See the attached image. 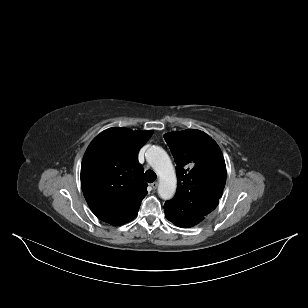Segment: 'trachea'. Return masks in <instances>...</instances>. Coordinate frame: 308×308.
Here are the masks:
<instances>
[{"label":"trachea","instance_id":"3493384b","mask_svg":"<svg viewBox=\"0 0 308 308\" xmlns=\"http://www.w3.org/2000/svg\"><path fill=\"white\" fill-rule=\"evenodd\" d=\"M156 174L152 170H147L145 172L144 178L148 183H153L156 180Z\"/></svg>","mask_w":308,"mask_h":308}]
</instances>
